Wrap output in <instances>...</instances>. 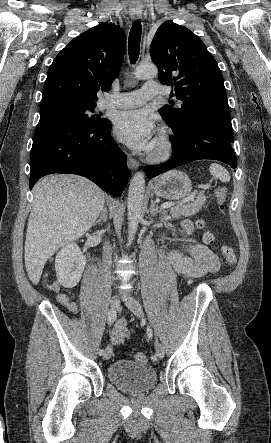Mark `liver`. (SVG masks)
<instances>
[{"mask_svg":"<svg viewBox=\"0 0 271 443\" xmlns=\"http://www.w3.org/2000/svg\"><path fill=\"white\" fill-rule=\"evenodd\" d=\"M24 259L32 283H38L43 267L58 247L82 237L99 218L105 196L93 182L59 174L46 176L33 188Z\"/></svg>","mask_w":271,"mask_h":443,"instance_id":"obj_1","label":"liver"}]
</instances>
